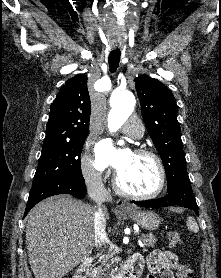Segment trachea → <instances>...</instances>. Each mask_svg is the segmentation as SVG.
Returning <instances> with one entry per match:
<instances>
[{
  "instance_id": "obj_1",
  "label": "trachea",
  "mask_w": 221,
  "mask_h": 278,
  "mask_svg": "<svg viewBox=\"0 0 221 278\" xmlns=\"http://www.w3.org/2000/svg\"><path fill=\"white\" fill-rule=\"evenodd\" d=\"M121 58L120 49H114L110 52L108 57L109 69L111 73L116 72Z\"/></svg>"
}]
</instances>
